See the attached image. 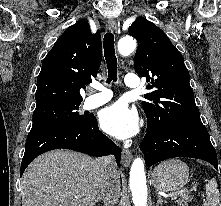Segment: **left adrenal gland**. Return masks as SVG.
<instances>
[{
    "label": "left adrenal gland",
    "instance_id": "a2214340",
    "mask_svg": "<svg viewBox=\"0 0 221 206\" xmlns=\"http://www.w3.org/2000/svg\"><path fill=\"white\" fill-rule=\"evenodd\" d=\"M162 203H166V201H164L160 195H158V201H157V206H159Z\"/></svg>",
    "mask_w": 221,
    "mask_h": 206
}]
</instances>
